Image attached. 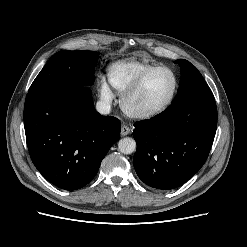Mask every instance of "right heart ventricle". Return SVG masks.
I'll return each mask as SVG.
<instances>
[{
    "mask_svg": "<svg viewBox=\"0 0 247 247\" xmlns=\"http://www.w3.org/2000/svg\"><path fill=\"white\" fill-rule=\"evenodd\" d=\"M153 66L154 64L148 61L121 60L109 66L107 80L119 94H123L142 72Z\"/></svg>",
    "mask_w": 247,
    "mask_h": 247,
    "instance_id": "e07e8e85",
    "label": "right heart ventricle"
}]
</instances>
